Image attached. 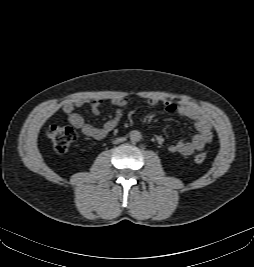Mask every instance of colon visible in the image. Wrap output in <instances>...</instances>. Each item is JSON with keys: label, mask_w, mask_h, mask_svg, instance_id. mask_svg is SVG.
<instances>
[{"label": "colon", "mask_w": 254, "mask_h": 267, "mask_svg": "<svg viewBox=\"0 0 254 267\" xmlns=\"http://www.w3.org/2000/svg\"><path fill=\"white\" fill-rule=\"evenodd\" d=\"M47 135L55 151L60 154L66 153L77 137L73 128L59 124L50 125L47 129ZM194 160L196 163H203L206 160V154L199 153L195 156Z\"/></svg>", "instance_id": "colon-1"}]
</instances>
